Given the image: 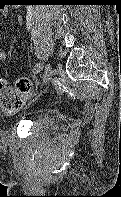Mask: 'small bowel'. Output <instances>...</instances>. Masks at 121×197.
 I'll use <instances>...</instances> for the list:
<instances>
[{
	"label": "small bowel",
	"instance_id": "small-bowel-1",
	"mask_svg": "<svg viewBox=\"0 0 121 197\" xmlns=\"http://www.w3.org/2000/svg\"><path fill=\"white\" fill-rule=\"evenodd\" d=\"M0 14L2 16H6L8 14V10L5 7H0ZM7 60V53L5 51H0V63H3Z\"/></svg>",
	"mask_w": 121,
	"mask_h": 197
}]
</instances>
